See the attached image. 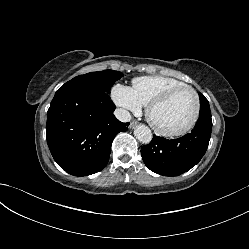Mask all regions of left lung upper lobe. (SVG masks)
<instances>
[{
  "instance_id": "left-lung-upper-lobe-1",
  "label": "left lung upper lobe",
  "mask_w": 249,
  "mask_h": 249,
  "mask_svg": "<svg viewBox=\"0 0 249 249\" xmlns=\"http://www.w3.org/2000/svg\"><path fill=\"white\" fill-rule=\"evenodd\" d=\"M199 98H200V115H211L208 100L201 93H199Z\"/></svg>"
}]
</instances>
